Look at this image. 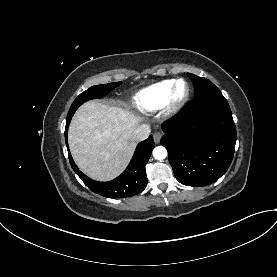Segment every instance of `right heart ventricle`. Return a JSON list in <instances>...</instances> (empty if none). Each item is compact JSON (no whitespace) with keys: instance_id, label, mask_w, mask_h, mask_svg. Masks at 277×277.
Instances as JSON below:
<instances>
[{"instance_id":"e07e8e85","label":"right heart ventricle","mask_w":277,"mask_h":277,"mask_svg":"<svg viewBox=\"0 0 277 277\" xmlns=\"http://www.w3.org/2000/svg\"><path fill=\"white\" fill-rule=\"evenodd\" d=\"M176 80H163L152 84L133 97L134 106L141 112L152 113L164 107Z\"/></svg>"}]
</instances>
